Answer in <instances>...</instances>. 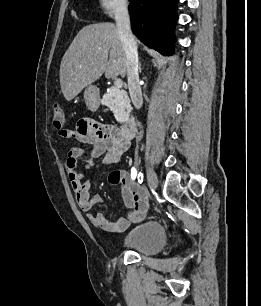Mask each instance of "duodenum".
Returning <instances> with one entry per match:
<instances>
[{
  "label": "duodenum",
  "mask_w": 261,
  "mask_h": 306,
  "mask_svg": "<svg viewBox=\"0 0 261 306\" xmlns=\"http://www.w3.org/2000/svg\"><path fill=\"white\" fill-rule=\"evenodd\" d=\"M120 134L126 138L131 139L134 137L136 132V121L133 117L125 119L120 126Z\"/></svg>",
  "instance_id": "duodenum-1"
}]
</instances>
